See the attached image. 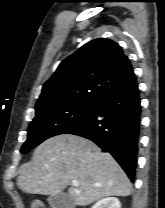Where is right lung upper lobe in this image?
I'll return each mask as SVG.
<instances>
[{"label": "right lung upper lobe", "mask_w": 165, "mask_h": 208, "mask_svg": "<svg viewBox=\"0 0 165 208\" xmlns=\"http://www.w3.org/2000/svg\"><path fill=\"white\" fill-rule=\"evenodd\" d=\"M133 77V68L122 48L110 39L98 38L60 63L43 85L36 109L70 101L98 102Z\"/></svg>", "instance_id": "right-lung-upper-lobe-1"}]
</instances>
